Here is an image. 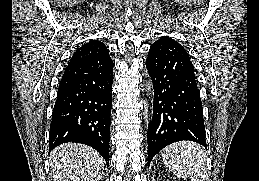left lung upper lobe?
Wrapping results in <instances>:
<instances>
[{"instance_id":"1","label":"left lung upper lobe","mask_w":259,"mask_h":181,"mask_svg":"<svg viewBox=\"0 0 259 181\" xmlns=\"http://www.w3.org/2000/svg\"><path fill=\"white\" fill-rule=\"evenodd\" d=\"M189 62H190V64H191L192 72L194 73V67H193V65H192V63H191V61H190V59H189Z\"/></svg>"}]
</instances>
